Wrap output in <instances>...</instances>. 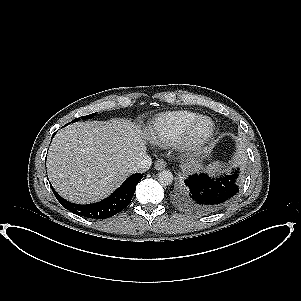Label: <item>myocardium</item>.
I'll list each match as a JSON object with an SVG mask.
<instances>
[{
    "instance_id": "1",
    "label": "myocardium",
    "mask_w": 301,
    "mask_h": 301,
    "mask_svg": "<svg viewBox=\"0 0 301 301\" xmlns=\"http://www.w3.org/2000/svg\"><path fill=\"white\" fill-rule=\"evenodd\" d=\"M202 123L208 124L207 132L198 136L196 130ZM215 133V123L207 116H200L193 121L176 140V146L180 152L186 155H195L201 152L210 142Z\"/></svg>"
}]
</instances>
